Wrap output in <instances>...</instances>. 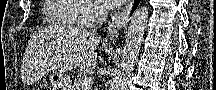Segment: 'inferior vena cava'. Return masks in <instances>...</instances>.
Masks as SVG:
<instances>
[{
  "instance_id": "1",
  "label": "inferior vena cava",
  "mask_w": 216,
  "mask_h": 90,
  "mask_svg": "<svg viewBox=\"0 0 216 90\" xmlns=\"http://www.w3.org/2000/svg\"><path fill=\"white\" fill-rule=\"evenodd\" d=\"M94 12L97 24H102L103 20H107L108 10L106 6H100V4H96V6H94Z\"/></svg>"
}]
</instances>
